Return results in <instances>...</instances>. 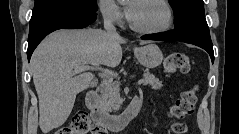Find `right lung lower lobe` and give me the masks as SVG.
I'll list each match as a JSON object with an SVG mask.
<instances>
[{
    "instance_id": "1",
    "label": "right lung lower lobe",
    "mask_w": 239,
    "mask_h": 134,
    "mask_svg": "<svg viewBox=\"0 0 239 134\" xmlns=\"http://www.w3.org/2000/svg\"><path fill=\"white\" fill-rule=\"evenodd\" d=\"M97 18L94 11L78 7L64 6L52 9L30 21L28 37V61L40 41L52 31L58 29L84 28Z\"/></svg>"
}]
</instances>
